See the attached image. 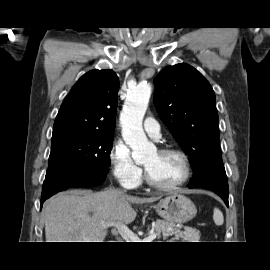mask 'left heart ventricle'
Here are the masks:
<instances>
[{"label": "left heart ventricle", "instance_id": "obj_1", "mask_svg": "<svg viewBox=\"0 0 270 270\" xmlns=\"http://www.w3.org/2000/svg\"><path fill=\"white\" fill-rule=\"evenodd\" d=\"M151 179L161 185H169L183 176V165L174 154L151 153L143 162Z\"/></svg>", "mask_w": 270, "mask_h": 270}]
</instances>
